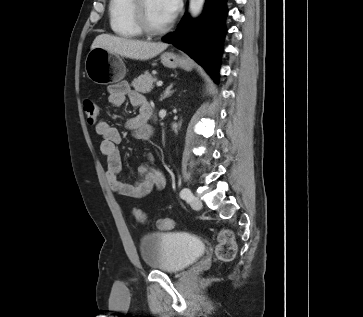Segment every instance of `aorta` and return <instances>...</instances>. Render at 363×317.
Returning <instances> with one entry per match:
<instances>
[{
  "label": "aorta",
  "instance_id": "aorta-1",
  "mask_svg": "<svg viewBox=\"0 0 363 317\" xmlns=\"http://www.w3.org/2000/svg\"><path fill=\"white\" fill-rule=\"evenodd\" d=\"M204 3L205 0H189V12L193 18L201 14Z\"/></svg>",
  "mask_w": 363,
  "mask_h": 317
}]
</instances>
